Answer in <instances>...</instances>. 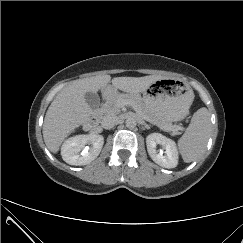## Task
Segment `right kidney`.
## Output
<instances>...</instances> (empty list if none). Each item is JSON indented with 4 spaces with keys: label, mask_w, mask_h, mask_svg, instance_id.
Segmentation results:
<instances>
[{
    "label": "right kidney",
    "mask_w": 243,
    "mask_h": 243,
    "mask_svg": "<svg viewBox=\"0 0 243 243\" xmlns=\"http://www.w3.org/2000/svg\"><path fill=\"white\" fill-rule=\"evenodd\" d=\"M91 144V148L86 146ZM104 144L102 135L87 134L68 138L61 147L63 160L75 166L86 165L97 158Z\"/></svg>",
    "instance_id": "1"
}]
</instances>
